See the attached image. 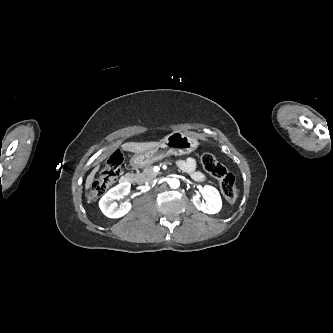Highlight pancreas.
I'll return each mask as SVG.
<instances>
[{
    "mask_svg": "<svg viewBox=\"0 0 333 333\" xmlns=\"http://www.w3.org/2000/svg\"><path fill=\"white\" fill-rule=\"evenodd\" d=\"M157 173L153 171V166L148 165L145 167V169L136 174V180L139 183H150L154 178H156Z\"/></svg>",
    "mask_w": 333,
    "mask_h": 333,
    "instance_id": "1",
    "label": "pancreas"
}]
</instances>
